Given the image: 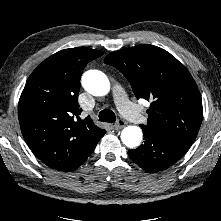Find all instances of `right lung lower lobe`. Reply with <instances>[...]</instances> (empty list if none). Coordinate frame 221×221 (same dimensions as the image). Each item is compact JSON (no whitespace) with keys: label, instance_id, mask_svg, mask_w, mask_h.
<instances>
[{"label":"right lung lower lobe","instance_id":"1","mask_svg":"<svg viewBox=\"0 0 221 221\" xmlns=\"http://www.w3.org/2000/svg\"><path fill=\"white\" fill-rule=\"evenodd\" d=\"M92 152H93V151H92ZM92 152H91V153H92ZM91 153H90V154H91ZM90 154H89V155H90ZM89 155H88V156H89ZM88 156H87V158H88ZM87 158H86V160H87ZM86 160H85V161H86ZM85 161H84V162H85ZM84 162H83V163H84ZM83 163H82V164H83ZM82 164H81V165H82Z\"/></svg>","mask_w":221,"mask_h":221}]
</instances>
